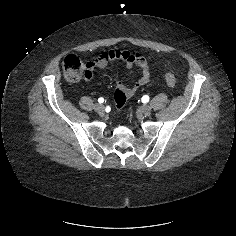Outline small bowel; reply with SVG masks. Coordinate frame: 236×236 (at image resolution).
Segmentation results:
<instances>
[{
    "instance_id": "obj_1",
    "label": "small bowel",
    "mask_w": 236,
    "mask_h": 236,
    "mask_svg": "<svg viewBox=\"0 0 236 236\" xmlns=\"http://www.w3.org/2000/svg\"><path fill=\"white\" fill-rule=\"evenodd\" d=\"M115 60H122L125 62L127 68L138 67L141 71L140 75L133 81L130 86H126L120 80L115 82V93L117 91H121L122 93H124L127 100L128 98L132 97L141 86L145 85L149 81L150 73L148 60L145 55L139 52H132L129 50H107L102 52L95 59L88 61L87 65L93 72L97 69H104L109 62ZM115 105L117 109L122 108L116 103V101Z\"/></svg>"
}]
</instances>
